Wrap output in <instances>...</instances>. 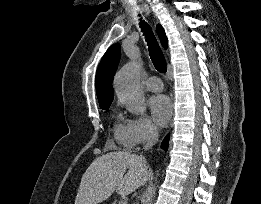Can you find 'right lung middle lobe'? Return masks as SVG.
<instances>
[{
    "label": "right lung middle lobe",
    "instance_id": "dd1d6c3e",
    "mask_svg": "<svg viewBox=\"0 0 261 204\" xmlns=\"http://www.w3.org/2000/svg\"><path fill=\"white\" fill-rule=\"evenodd\" d=\"M111 105V102H107V103H104V104H100V107L101 109H108Z\"/></svg>",
    "mask_w": 261,
    "mask_h": 204
}]
</instances>
